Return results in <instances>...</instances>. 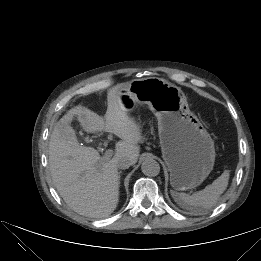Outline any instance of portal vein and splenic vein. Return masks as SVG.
Segmentation results:
<instances>
[{
  "label": "portal vein and splenic vein",
  "mask_w": 261,
  "mask_h": 261,
  "mask_svg": "<svg viewBox=\"0 0 261 261\" xmlns=\"http://www.w3.org/2000/svg\"><path fill=\"white\" fill-rule=\"evenodd\" d=\"M113 155V151L108 149L105 151L104 159H109Z\"/></svg>",
  "instance_id": "18ae733b"
}]
</instances>
